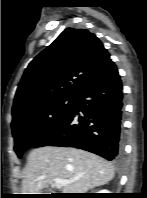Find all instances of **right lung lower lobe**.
I'll use <instances>...</instances> for the list:
<instances>
[{
  "instance_id": "98d812e1",
  "label": "right lung lower lobe",
  "mask_w": 147,
  "mask_h": 198,
  "mask_svg": "<svg viewBox=\"0 0 147 198\" xmlns=\"http://www.w3.org/2000/svg\"><path fill=\"white\" fill-rule=\"evenodd\" d=\"M81 112V114L79 113ZM122 83L114 62L74 99L62 122L34 147H76L107 160L120 157Z\"/></svg>"
}]
</instances>
